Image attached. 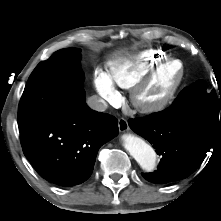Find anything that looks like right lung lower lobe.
<instances>
[{
    "label": "right lung lower lobe",
    "instance_id": "1",
    "mask_svg": "<svg viewBox=\"0 0 221 221\" xmlns=\"http://www.w3.org/2000/svg\"><path fill=\"white\" fill-rule=\"evenodd\" d=\"M118 132V120L90 109L84 91L52 116L21 130L20 141L41 177L69 187L90 177L99 148Z\"/></svg>",
    "mask_w": 221,
    "mask_h": 221
}]
</instances>
